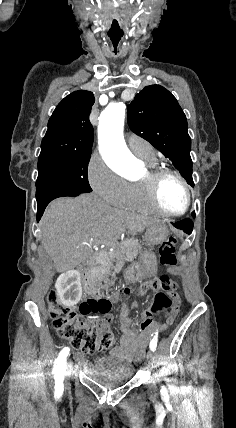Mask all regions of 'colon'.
<instances>
[{"mask_svg": "<svg viewBox=\"0 0 236 428\" xmlns=\"http://www.w3.org/2000/svg\"><path fill=\"white\" fill-rule=\"evenodd\" d=\"M177 240L169 237L160 247V262L162 265L173 267L177 264L175 249ZM156 290L152 309L145 312L141 326L151 322L155 312L163 311L169 319L177 314L179 299L175 293L176 282L168 275L158 276L141 286V291ZM129 293L128 288L122 290V294ZM49 313L54 329L58 335L67 340L74 348L84 353L92 354L96 351L109 349L113 344V336L109 331L107 322H94L87 317L97 314H105L110 309L109 300L88 292L78 308L64 306L55 291L48 295Z\"/></svg>", "mask_w": 236, "mask_h": 428, "instance_id": "5ec220e1", "label": "colon"}]
</instances>
